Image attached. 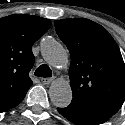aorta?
Listing matches in <instances>:
<instances>
[{
	"instance_id": "762f6f07",
	"label": "aorta",
	"mask_w": 125,
	"mask_h": 125,
	"mask_svg": "<svg viewBox=\"0 0 125 125\" xmlns=\"http://www.w3.org/2000/svg\"><path fill=\"white\" fill-rule=\"evenodd\" d=\"M41 53L44 60L52 67L62 68L67 64L68 56L65 48L54 39L43 40ZM49 96L56 107H67L72 100L70 84L63 80L54 81L49 88Z\"/></svg>"
}]
</instances>
